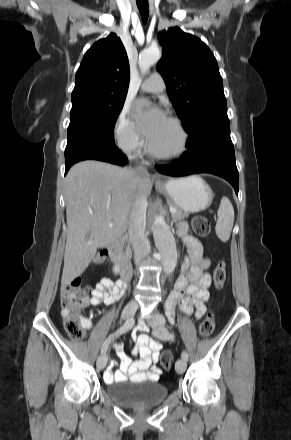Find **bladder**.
<instances>
[{"label": "bladder", "instance_id": "31cf9c89", "mask_svg": "<svg viewBox=\"0 0 291 440\" xmlns=\"http://www.w3.org/2000/svg\"><path fill=\"white\" fill-rule=\"evenodd\" d=\"M109 397L127 407H139L161 403L168 388L150 380H122L107 385Z\"/></svg>", "mask_w": 291, "mask_h": 440}]
</instances>
